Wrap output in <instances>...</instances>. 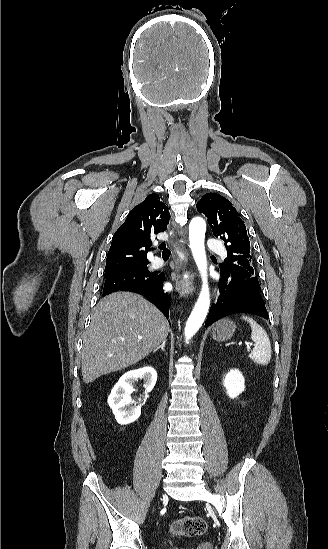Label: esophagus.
Here are the masks:
<instances>
[{
	"mask_svg": "<svg viewBox=\"0 0 328 549\" xmlns=\"http://www.w3.org/2000/svg\"><path fill=\"white\" fill-rule=\"evenodd\" d=\"M176 291L184 298H188L194 293V272L192 270H185L177 276Z\"/></svg>",
	"mask_w": 328,
	"mask_h": 549,
	"instance_id": "34e87169",
	"label": "esophagus"
}]
</instances>
